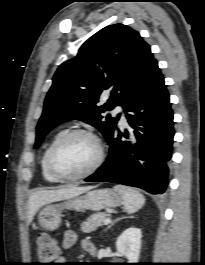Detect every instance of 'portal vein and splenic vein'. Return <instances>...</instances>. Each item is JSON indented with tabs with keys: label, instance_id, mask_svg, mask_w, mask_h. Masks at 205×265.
I'll return each mask as SVG.
<instances>
[{
	"label": "portal vein and splenic vein",
	"instance_id": "1",
	"mask_svg": "<svg viewBox=\"0 0 205 265\" xmlns=\"http://www.w3.org/2000/svg\"><path fill=\"white\" fill-rule=\"evenodd\" d=\"M103 223H104L105 225H107V224L111 223V219H110V218H106V219L103 221Z\"/></svg>",
	"mask_w": 205,
	"mask_h": 265
}]
</instances>
